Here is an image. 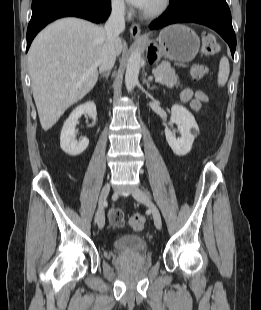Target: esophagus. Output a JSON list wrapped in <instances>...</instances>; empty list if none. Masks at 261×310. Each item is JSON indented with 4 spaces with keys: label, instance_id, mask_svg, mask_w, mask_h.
I'll return each instance as SVG.
<instances>
[{
    "label": "esophagus",
    "instance_id": "1",
    "mask_svg": "<svg viewBox=\"0 0 261 310\" xmlns=\"http://www.w3.org/2000/svg\"><path fill=\"white\" fill-rule=\"evenodd\" d=\"M130 34L134 39H145L141 34L140 26L137 23H133L130 27Z\"/></svg>",
    "mask_w": 261,
    "mask_h": 310
}]
</instances>
